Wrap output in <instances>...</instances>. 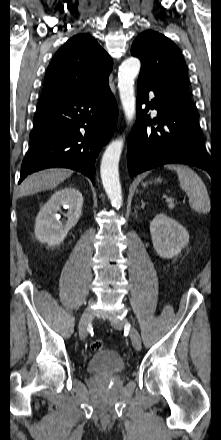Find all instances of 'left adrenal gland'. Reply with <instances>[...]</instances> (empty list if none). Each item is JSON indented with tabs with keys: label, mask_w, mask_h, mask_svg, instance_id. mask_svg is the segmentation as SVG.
<instances>
[{
	"label": "left adrenal gland",
	"mask_w": 221,
	"mask_h": 440,
	"mask_svg": "<svg viewBox=\"0 0 221 440\" xmlns=\"http://www.w3.org/2000/svg\"><path fill=\"white\" fill-rule=\"evenodd\" d=\"M145 202L143 201V199L141 200V209H143L144 208V206H145Z\"/></svg>",
	"instance_id": "a2214340"
}]
</instances>
